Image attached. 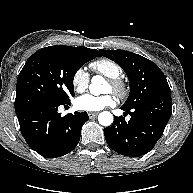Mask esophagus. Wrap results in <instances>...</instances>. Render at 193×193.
Segmentation results:
<instances>
[{"label": "esophagus", "instance_id": "34e87169", "mask_svg": "<svg viewBox=\"0 0 193 193\" xmlns=\"http://www.w3.org/2000/svg\"><path fill=\"white\" fill-rule=\"evenodd\" d=\"M98 115V112H89L88 116L90 119L95 118Z\"/></svg>", "mask_w": 193, "mask_h": 193}]
</instances>
